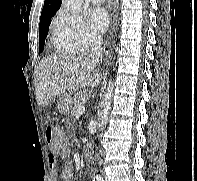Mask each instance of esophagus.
Returning <instances> with one entry per match:
<instances>
[{
    "mask_svg": "<svg viewBox=\"0 0 197 181\" xmlns=\"http://www.w3.org/2000/svg\"><path fill=\"white\" fill-rule=\"evenodd\" d=\"M118 2V0H116V3ZM116 29V18H114L113 20V25H112V35H113V32L115 31Z\"/></svg>",
    "mask_w": 197,
    "mask_h": 181,
    "instance_id": "obj_1",
    "label": "esophagus"
}]
</instances>
